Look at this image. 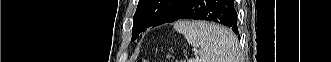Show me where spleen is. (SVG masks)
Listing matches in <instances>:
<instances>
[{
    "label": "spleen",
    "mask_w": 331,
    "mask_h": 62,
    "mask_svg": "<svg viewBox=\"0 0 331 62\" xmlns=\"http://www.w3.org/2000/svg\"><path fill=\"white\" fill-rule=\"evenodd\" d=\"M174 29L189 44L199 47L190 62H240L237 38L228 28L205 21H179Z\"/></svg>",
    "instance_id": "1"
}]
</instances>
